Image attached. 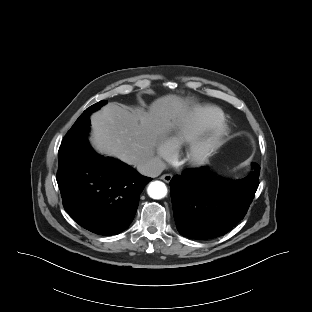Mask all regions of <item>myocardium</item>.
Returning <instances> with one entry per match:
<instances>
[{
	"label": "myocardium",
	"mask_w": 312,
	"mask_h": 312,
	"mask_svg": "<svg viewBox=\"0 0 312 312\" xmlns=\"http://www.w3.org/2000/svg\"><path fill=\"white\" fill-rule=\"evenodd\" d=\"M230 133L226 123L218 124L210 131L189 142L184 151V160L190 166H199L209 160Z\"/></svg>",
	"instance_id": "obj_1"
}]
</instances>
